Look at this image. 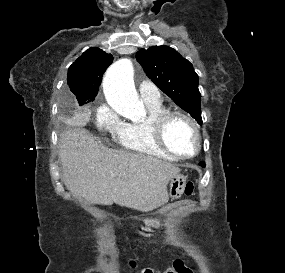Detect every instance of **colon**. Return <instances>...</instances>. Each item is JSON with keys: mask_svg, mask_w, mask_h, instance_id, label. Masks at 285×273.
Returning a JSON list of instances; mask_svg holds the SVG:
<instances>
[{"mask_svg": "<svg viewBox=\"0 0 285 273\" xmlns=\"http://www.w3.org/2000/svg\"><path fill=\"white\" fill-rule=\"evenodd\" d=\"M194 191H195L194 183L188 182L184 187V195L191 196L193 195ZM131 265L132 266L135 265L133 261L131 262ZM137 273H155V272L150 268H144L138 270ZM161 273H192V269L185 260L178 258L173 262V265L171 267L165 269Z\"/></svg>", "mask_w": 285, "mask_h": 273, "instance_id": "obj_1", "label": "colon"}]
</instances>
